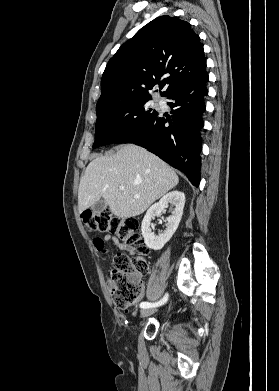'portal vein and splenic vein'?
I'll use <instances>...</instances> for the list:
<instances>
[{"mask_svg": "<svg viewBox=\"0 0 279 391\" xmlns=\"http://www.w3.org/2000/svg\"><path fill=\"white\" fill-rule=\"evenodd\" d=\"M125 188L123 186H120V190L123 191ZM135 197H139L138 195H136Z\"/></svg>", "mask_w": 279, "mask_h": 391, "instance_id": "obj_1", "label": "portal vein and splenic vein"}]
</instances>
